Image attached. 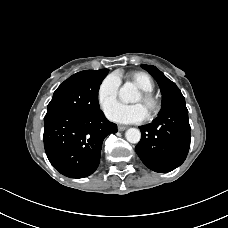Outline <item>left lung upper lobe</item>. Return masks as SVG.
<instances>
[{
  "instance_id": "1",
  "label": "left lung upper lobe",
  "mask_w": 228,
  "mask_h": 228,
  "mask_svg": "<svg viewBox=\"0 0 228 228\" xmlns=\"http://www.w3.org/2000/svg\"><path fill=\"white\" fill-rule=\"evenodd\" d=\"M142 67L147 70L158 82L162 93V108L159 114L173 103L178 101H184V96L182 95L179 88L174 82L169 80L160 70L152 65H142Z\"/></svg>"
}]
</instances>
